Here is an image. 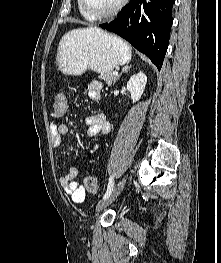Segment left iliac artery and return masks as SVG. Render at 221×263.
Listing matches in <instances>:
<instances>
[{
	"label": "left iliac artery",
	"mask_w": 221,
	"mask_h": 263,
	"mask_svg": "<svg viewBox=\"0 0 221 263\" xmlns=\"http://www.w3.org/2000/svg\"><path fill=\"white\" fill-rule=\"evenodd\" d=\"M113 187H114L113 176H111L110 179H109L107 191H106L103 199H106L111 194V192L113 190Z\"/></svg>",
	"instance_id": "left-iliac-artery-1"
}]
</instances>
